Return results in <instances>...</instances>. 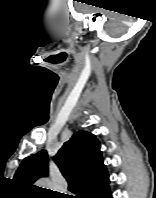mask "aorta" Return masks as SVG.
I'll list each match as a JSON object with an SVG mask.
<instances>
[{
    "instance_id": "obj_1",
    "label": "aorta",
    "mask_w": 156,
    "mask_h": 198,
    "mask_svg": "<svg viewBox=\"0 0 156 198\" xmlns=\"http://www.w3.org/2000/svg\"><path fill=\"white\" fill-rule=\"evenodd\" d=\"M43 186H46L47 185V182L46 181H42L41 183Z\"/></svg>"
}]
</instances>
